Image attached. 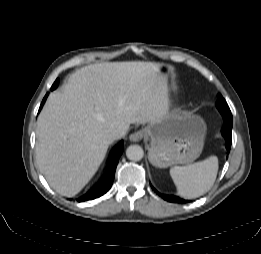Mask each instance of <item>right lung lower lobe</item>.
Instances as JSON below:
<instances>
[{"mask_svg":"<svg viewBox=\"0 0 261 254\" xmlns=\"http://www.w3.org/2000/svg\"><path fill=\"white\" fill-rule=\"evenodd\" d=\"M58 86V80H56L51 87V90H54ZM47 98V95L44 97L40 109L42 108L45 100ZM39 109V110H40ZM123 141H121L117 147L114 149L111 159L109 161L108 167H107V172L105 177L98 183L95 187L90 189L84 196L78 199L79 202L86 201V200H92L95 198H98L105 194L112 186L113 180H114V175H115V170L119 161V158L123 152Z\"/></svg>","mask_w":261,"mask_h":254,"instance_id":"right-lung-lower-lobe-1","label":"right lung lower lobe"}]
</instances>
